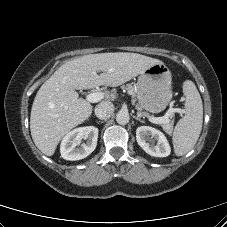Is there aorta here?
I'll use <instances>...</instances> for the list:
<instances>
[{
  "instance_id": "762f6f07",
  "label": "aorta",
  "mask_w": 227,
  "mask_h": 227,
  "mask_svg": "<svg viewBox=\"0 0 227 227\" xmlns=\"http://www.w3.org/2000/svg\"><path fill=\"white\" fill-rule=\"evenodd\" d=\"M129 113L126 110H120L116 115V121L118 124L125 125L129 122Z\"/></svg>"
}]
</instances>
